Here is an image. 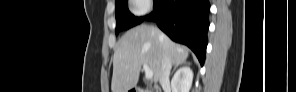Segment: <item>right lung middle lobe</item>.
<instances>
[{
  "instance_id": "1",
  "label": "right lung middle lobe",
  "mask_w": 296,
  "mask_h": 92,
  "mask_svg": "<svg viewBox=\"0 0 296 92\" xmlns=\"http://www.w3.org/2000/svg\"><path fill=\"white\" fill-rule=\"evenodd\" d=\"M158 0H154V5ZM116 4V35L123 30H127L139 23L144 17H134L128 10L127 0H117Z\"/></svg>"
}]
</instances>
